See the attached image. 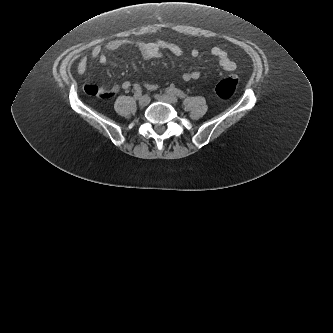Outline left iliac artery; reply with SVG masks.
<instances>
[{"label": "left iliac artery", "instance_id": "44dca946", "mask_svg": "<svg viewBox=\"0 0 333 333\" xmlns=\"http://www.w3.org/2000/svg\"><path fill=\"white\" fill-rule=\"evenodd\" d=\"M166 92L169 93V94L177 95L181 99L186 97V94L183 91H181L177 88H167Z\"/></svg>", "mask_w": 333, "mask_h": 333}]
</instances>
